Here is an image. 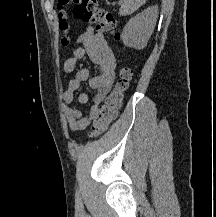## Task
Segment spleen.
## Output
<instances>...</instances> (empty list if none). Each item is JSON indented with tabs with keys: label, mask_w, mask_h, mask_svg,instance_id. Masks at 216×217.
<instances>
[{
	"label": "spleen",
	"mask_w": 216,
	"mask_h": 217,
	"mask_svg": "<svg viewBox=\"0 0 216 217\" xmlns=\"http://www.w3.org/2000/svg\"><path fill=\"white\" fill-rule=\"evenodd\" d=\"M147 0H123L119 14L121 16L131 15L137 11Z\"/></svg>",
	"instance_id": "1"
}]
</instances>
